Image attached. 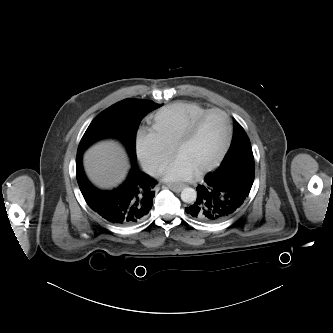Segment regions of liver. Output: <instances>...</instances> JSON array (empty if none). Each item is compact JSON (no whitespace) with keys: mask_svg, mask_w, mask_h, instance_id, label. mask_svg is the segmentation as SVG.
<instances>
[{"mask_svg":"<svg viewBox=\"0 0 333 333\" xmlns=\"http://www.w3.org/2000/svg\"><path fill=\"white\" fill-rule=\"evenodd\" d=\"M84 167L90 181L100 188L120 183L129 167L126 153L115 142H102L84 155Z\"/></svg>","mask_w":333,"mask_h":333,"instance_id":"obj_1","label":"liver"}]
</instances>
